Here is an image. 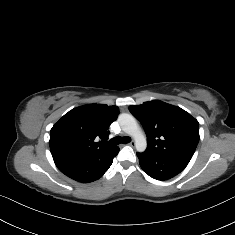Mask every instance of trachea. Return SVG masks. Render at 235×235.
Here are the masks:
<instances>
[{
  "label": "trachea",
  "mask_w": 235,
  "mask_h": 235,
  "mask_svg": "<svg viewBox=\"0 0 235 235\" xmlns=\"http://www.w3.org/2000/svg\"><path fill=\"white\" fill-rule=\"evenodd\" d=\"M131 141V138L126 136V137H120V136H117V137H114L112 138L110 141H109V144H112V145H118V144H126V143H129Z\"/></svg>",
  "instance_id": "1"
}]
</instances>
